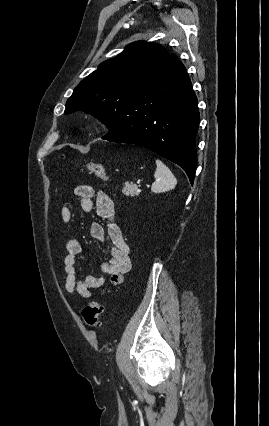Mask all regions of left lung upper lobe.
Instances as JSON below:
<instances>
[{
    "label": "left lung upper lobe",
    "instance_id": "5c2ea615",
    "mask_svg": "<svg viewBox=\"0 0 269 426\" xmlns=\"http://www.w3.org/2000/svg\"><path fill=\"white\" fill-rule=\"evenodd\" d=\"M160 44L137 41L118 56L101 63L83 79L67 100L65 114L84 110L98 117L111 136L124 118L131 98L146 89L169 57Z\"/></svg>",
    "mask_w": 269,
    "mask_h": 426
}]
</instances>
